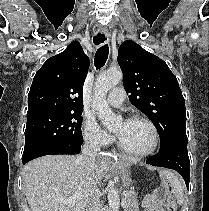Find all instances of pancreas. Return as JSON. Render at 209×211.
Wrapping results in <instances>:
<instances>
[{
  "label": "pancreas",
  "instance_id": "1",
  "mask_svg": "<svg viewBox=\"0 0 209 211\" xmlns=\"http://www.w3.org/2000/svg\"><path fill=\"white\" fill-rule=\"evenodd\" d=\"M124 200L127 203L126 211H139L137 193L134 190L128 191L124 197Z\"/></svg>",
  "mask_w": 209,
  "mask_h": 211
}]
</instances>
